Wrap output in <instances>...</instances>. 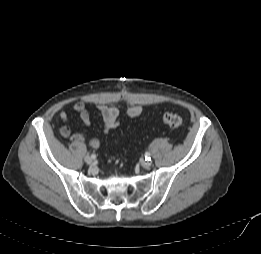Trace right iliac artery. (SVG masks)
Segmentation results:
<instances>
[{"instance_id":"1","label":"right iliac artery","mask_w":261,"mask_h":254,"mask_svg":"<svg viewBox=\"0 0 261 254\" xmlns=\"http://www.w3.org/2000/svg\"><path fill=\"white\" fill-rule=\"evenodd\" d=\"M91 157H92V158H95V157H96V155H95V154H93V155H91Z\"/></svg>"}]
</instances>
